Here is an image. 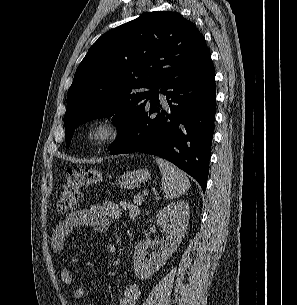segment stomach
I'll list each match as a JSON object with an SVG mask.
<instances>
[{
    "instance_id": "obj_1",
    "label": "stomach",
    "mask_w": 297,
    "mask_h": 305,
    "mask_svg": "<svg viewBox=\"0 0 297 305\" xmlns=\"http://www.w3.org/2000/svg\"><path fill=\"white\" fill-rule=\"evenodd\" d=\"M150 176V172L147 169L128 171L118 178V184L122 188L133 189L147 182Z\"/></svg>"
}]
</instances>
